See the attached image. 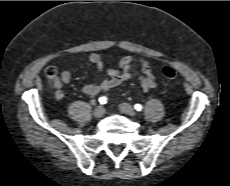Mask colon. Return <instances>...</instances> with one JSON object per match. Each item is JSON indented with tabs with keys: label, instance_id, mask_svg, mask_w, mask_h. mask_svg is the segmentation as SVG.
Here are the masks:
<instances>
[{
	"label": "colon",
	"instance_id": "colon-1",
	"mask_svg": "<svg viewBox=\"0 0 230 186\" xmlns=\"http://www.w3.org/2000/svg\"><path fill=\"white\" fill-rule=\"evenodd\" d=\"M162 73L164 75L165 78L169 79V80H174L177 77V72L169 66H166L163 68ZM56 71L54 68L49 67L46 70V76L49 79H53L55 77Z\"/></svg>",
	"mask_w": 230,
	"mask_h": 186
}]
</instances>
